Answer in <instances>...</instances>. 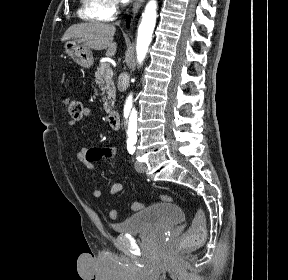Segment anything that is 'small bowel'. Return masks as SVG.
<instances>
[{"label": "small bowel", "mask_w": 288, "mask_h": 280, "mask_svg": "<svg viewBox=\"0 0 288 280\" xmlns=\"http://www.w3.org/2000/svg\"><path fill=\"white\" fill-rule=\"evenodd\" d=\"M94 113L91 109L84 107L83 116L91 117ZM76 120H70L68 125H76ZM119 154V150L116 147H92V148H81L77 152V158L89 169H94V162L101 159H113ZM123 190V184L116 182L112 184L109 189V195L114 196ZM92 195L96 198L101 197L102 191L99 188L92 189Z\"/></svg>", "instance_id": "c3829d8e"}]
</instances>
